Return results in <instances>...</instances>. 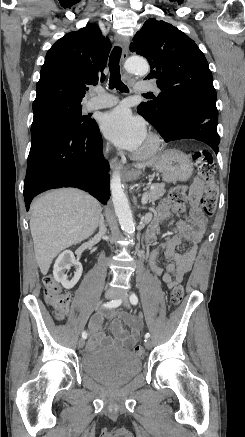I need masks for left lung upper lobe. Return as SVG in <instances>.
Here are the masks:
<instances>
[{"label":"left lung upper lobe","instance_id":"5c2ea615","mask_svg":"<svg viewBox=\"0 0 245 437\" xmlns=\"http://www.w3.org/2000/svg\"><path fill=\"white\" fill-rule=\"evenodd\" d=\"M130 51L147 58L161 93L142 102L137 111L154 127L163 126L170 109L179 104L201 106L218 115L216 91L208 62L198 46L173 25L148 19L130 45Z\"/></svg>","mask_w":245,"mask_h":437}]
</instances>
